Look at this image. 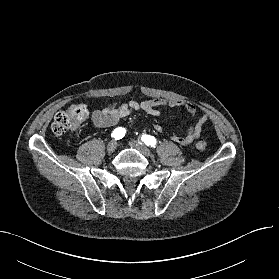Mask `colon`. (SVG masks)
<instances>
[{"instance_id": "5ec220e1", "label": "colon", "mask_w": 279, "mask_h": 279, "mask_svg": "<svg viewBox=\"0 0 279 279\" xmlns=\"http://www.w3.org/2000/svg\"><path fill=\"white\" fill-rule=\"evenodd\" d=\"M87 117L88 110L84 104H73L55 115L51 125L52 131L56 135H64L74 131L83 124ZM195 147L199 151H204L207 148V141L204 138H199Z\"/></svg>"}]
</instances>
